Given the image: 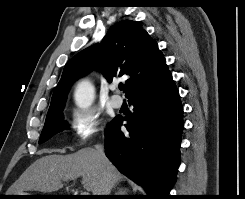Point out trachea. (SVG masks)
<instances>
[{
	"label": "trachea",
	"mask_w": 245,
	"mask_h": 199,
	"mask_svg": "<svg viewBox=\"0 0 245 199\" xmlns=\"http://www.w3.org/2000/svg\"><path fill=\"white\" fill-rule=\"evenodd\" d=\"M123 88H124V85H123V84H120V85H119V89H120V90H123Z\"/></svg>",
	"instance_id": "obj_1"
}]
</instances>
